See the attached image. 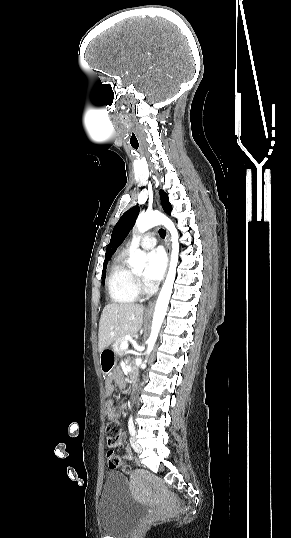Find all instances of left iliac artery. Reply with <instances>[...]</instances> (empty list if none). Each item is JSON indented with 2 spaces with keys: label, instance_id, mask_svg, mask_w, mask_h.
<instances>
[{
  "label": "left iliac artery",
  "instance_id": "44dca946",
  "mask_svg": "<svg viewBox=\"0 0 291 538\" xmlns=\"http://www.w3.org/2000/svg\"><path fill=\"white\" fill-rule=\"evenodd\" d=\"M128 427H129V432L132 436L135 435L136 433V430H135V426H134V423H133V418L132 416L129 417V421H128Z\"/></svg>",
  "mask_w": 291,
  "mask_h": 538
}]
</instances>
